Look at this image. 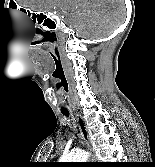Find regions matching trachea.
<instances>
[{"label":"trachea","instance_id":"trachea-1","mask_svg":"<svg viewBox=\"0 0 155 167\" xmlns=\"http://www.w3.org/2000/svg\"><path fill=\"white\" fill-rule=\"evenodd\" d=\"M63 114L66 115V116H68V112H66V111H64Z\"/></svg>","mask_w":155,"mask_h":167}]
</instances>
